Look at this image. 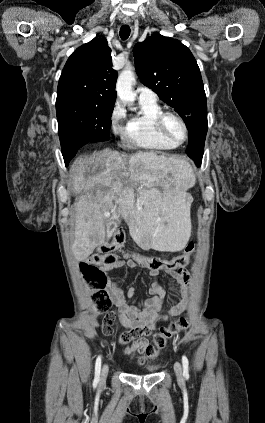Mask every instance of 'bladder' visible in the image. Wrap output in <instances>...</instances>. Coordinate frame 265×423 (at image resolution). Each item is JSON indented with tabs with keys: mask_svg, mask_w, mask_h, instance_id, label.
<instances>
[{
	"mask_svg": "<svg viewBox=\"0 0 265 423\" xmlns=\"http://www.w3.org/2000/svg\"><path fill=\"white\" fill-rule=\"evenodd\" d=\"M158 368H159V366H157V365H152V366H149V367L146 369V372H147V373H153V372H155Z\"/></svg>",
	"mask_w": 265,
	"mask_h": 423,
	"instance_id": "bladder-1",
	"label": "bladder"
}]
</instances>
